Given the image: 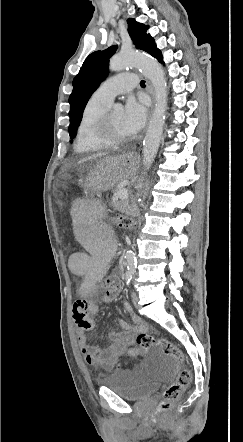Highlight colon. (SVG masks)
Returning <instances> with one entry per match:
<instances>
[{"mask_svg": "<svg viewBox=\"0 0 243 442\" xmlns=\"http://www.w3.org/2000/svg\"><path fill=\"white\" fill-rule=\"evenodd\" d=\"M110 219V225L116 226L119 230H141L145 228L144 222L138 221L136 216H129L128 213H113ZM137 343L143 352L150 348L158 347L163 353L173 357L181 364L185 363V355L182 350L166 338H157L148 333H141L137 336ZM191 380L192 375L190 370L183 368L179 372L176 380L164 391L163 400L159 406L160 417L165 418L168 416L172 405L180 399L184 390L191 383Z\"/></svg>", "mask_w": 243, "mask_h": 442, "instance_id": "5ec220e1", "label": "colon"}]
</instances>
